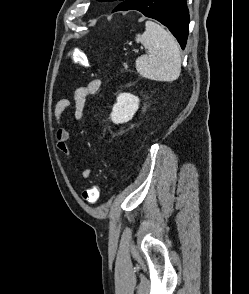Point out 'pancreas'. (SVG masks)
<instances>
[{"label":"pancreas","instance_id":"pancreas-1","mask_svg":"<svg viewBox=\"0 0 249 294\" xmlns=\"http://www.w3.org/2000/svg\"><path fill=\"white\" fill-rule=\"evenodd\" d=\"M124 68H125V69H127V68H128V66H127V64H126V63H124Z\"/></svg>","mask_w":249,"mask_h":294}]
</instances>
